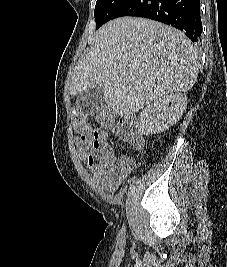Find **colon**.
<instances>
[{"mask_svg": "<svg viewBox=\"0 0 227 267\" xmlns=\"http://www.w3.org/2000/svg\"><path fill=\"white\" fill-rule=\"evenodd\" d=\"M73 118L75 128L79 133L88 135L92 132L89 118L85 113L75 110L73 112ZM95 119L101 129H111L115 125V117L113 113L107 109L97 112ZM118 130L121 137L133 143L134 146L139 147L141 145L140 136L131 124L123 122L119 125Z\"/></svg>", "mask_w": 227, "mask_h": 267, "instance_id": "obj_1", "label": "colon"}]
</instances>
